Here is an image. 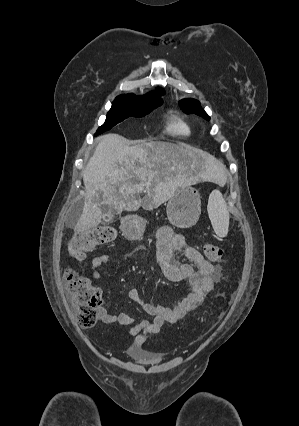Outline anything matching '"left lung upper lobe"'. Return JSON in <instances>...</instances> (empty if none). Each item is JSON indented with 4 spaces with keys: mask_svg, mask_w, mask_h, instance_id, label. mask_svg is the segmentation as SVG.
<instances>
[{
    "mask_svg": "<svg viewBox=\"0 0 299 426\" xmlns=\"http://www.w3.org/2000/svg\"><path fill=\"white\" fill-rule=\"evenodd\" d=\"M181 106L186 110L188 113H196L200 116H203L207 120L210 119V117L205 113V111L200 107L199 102L195 99H183L180 101Z\"/></svg>",
    "mask_w": 299,
    "mask_h": 426,
    "instance_id": "obj_1",
    "label": "left lung upper lobe"
}]
</instances>
